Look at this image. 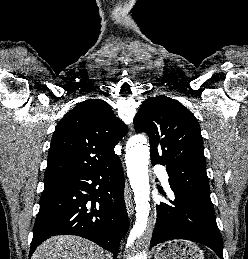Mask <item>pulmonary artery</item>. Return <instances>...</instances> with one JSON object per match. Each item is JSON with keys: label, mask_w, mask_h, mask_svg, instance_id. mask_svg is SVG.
<instances>
[{"label": "pulmonary artery", "mask_w": 248, "mask_h": 259, "mask_svg": "<svg viewBox=\"0 0 248 259\" xmlns=\"http://www.w3.org/2000/svg\"><path fill=\"white\" fill-rule=\"evenodd\" d=\"M155 170L160 173L161 175V180H162V183L163 185L166 187V188H169V178H168V175L167 173L164 171V169L161 167V166H156L155 167Z\"/></svg>", "instance_id": "1"}]
</instances>
